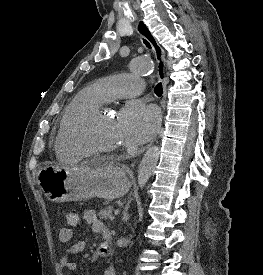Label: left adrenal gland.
Wrapping results in <instances>:
<instances>
[{"label": "left adrenal gland", "mask_w": 263, "mask_h": 275, "mask_svg": "<svg viewBox=\"0 0 263 275\" xmlns=\"http://www.w3.org/2000/svg\"><path fill=\"white\" fill-rule=\"evenodd\" d=\"M122 220L124 222H127L129 220V216L127 214V209H125L124 212H123V218H122Z\"/></svg>", "instance_id": "a2214340"}]
</instances>
